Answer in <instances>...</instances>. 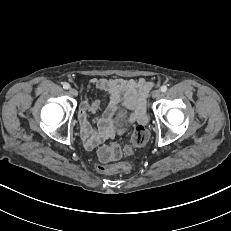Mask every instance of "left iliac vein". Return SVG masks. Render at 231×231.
<instances>
[{
	"mask_svg": "<svg viewBox=\"0 0 231 231\" xmlns=\"http://www.w3.org/2000/svg\"><path fill=\"white\" fill-rule=\"evenodd\" d=\"M160 96H161V91H160V90L156 89V90L152 91V97H153L154 99H157V98H159Z\"/></svg>",
	"mask_w": 231,
	"mask_h": 231,
	"instance_id": "4c4485c4",
	"label": "left iliac vein"
}]
</instances>
